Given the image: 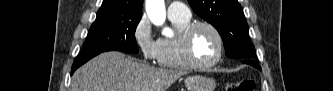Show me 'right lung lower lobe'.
Listing matches in <instances>:
<instances>
[{"label":"right lung lower lobe","mask_w":333,"mask_h":91,"mask_svg":"<svg viewBox=\"0 0 333 91\" xmlns=\"http://www.w3.org/2000/svg\"><path fill=\"white\" fill-rule=\"evenodd\" d=\"M100 53H93V54H80L76 57L73 66H72V70H71V74L74 73V71L80 67L81 65H83L84 63H86L88 60H90L91 58L95 57L96 55H98Z\"/></svg>","instance_id":"1"}]
</instances>
